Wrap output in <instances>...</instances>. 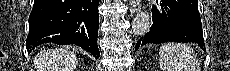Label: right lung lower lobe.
Wrapping results in <instances>:
<instances>
[{
	"label": "right lung lower lobe",
	"instance_id": "98d812e1",
	"mask_svg": "<svg viewBox=\"0 0 230 71\" xmlns=\"http://www.w3.org/2000/svg\"><path fill=\"white\" fill-rule=\"evenodd\" d=\"M98 5L99 0H34L26 41L28 52L46 43L76 44L97 59Z\"/></svg>",
	"mask_w": 230,
	"mask_h": 71
}]
</instances>
